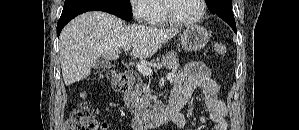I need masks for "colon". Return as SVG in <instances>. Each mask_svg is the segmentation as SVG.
I'll use <instances>...</instances> for the list:
<instances>
[{
  "instance_id": "colon-1",
  "label": "colon",
  "mask_w": 299,
  "mask_h": 130,
  "mask_svg": "<svg viewBox=\"0 0 299 130\" xmlns=\"http://www.w3.org/2000/svg\"><path fill=\"white\" fill-rule=\"evenodd\" d=\"M213 50L216 55L224 56L227 48L222 43H214ZM110 87L114 90L120 89L125 81L124 74L116 70H109L102 75ZM65 130H102L101 124L93 117L87 102L76 106L69 119L66 121Z\"/></svg>"
}]
</instances>
